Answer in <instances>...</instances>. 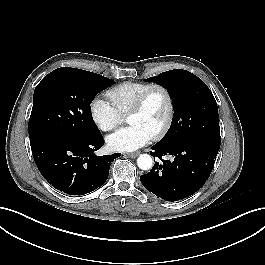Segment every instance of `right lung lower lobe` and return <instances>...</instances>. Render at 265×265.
<instances>
[{"instance_id":"obj_1","label":"right lung lower lobe","mask_w":265,"mask_h":265,"mask_svg":"<svg viewBox=\"0 0 265 265\" xmlns=\"http://www.w3.org/2000/svg\"><path fill=\"white\" fill-rule=\"evenodd\" d=\"M104 144L101 133L90 138H60L31 144L42 176L56 189L83 195L107 180L110 164L120 153L96 156Z\"/></svg>"}]
</instances>
